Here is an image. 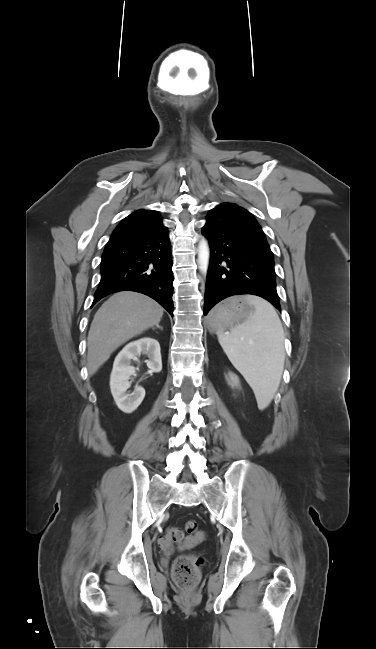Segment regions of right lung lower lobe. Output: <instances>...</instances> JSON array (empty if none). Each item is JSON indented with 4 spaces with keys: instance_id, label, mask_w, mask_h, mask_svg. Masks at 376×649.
Listing matches in <instances>:
<instances>
[{
    "instance_id": "obj_1",
    "label": "right lung lower lobe",
    "mask_w": 376,
    "mask_h": 649,
    "mask_svg": "<svg viewBox=\"0 0 376 649\" xmlns=\"http://www.w3.org/2000/svg\"><path fill=\"white\" fill-rule=\"evenodd\" d=\"M173 272L168 231L106 245L101 261V280L92 306L101 298L130 290L156 300L173 316Z\"/></svg>"
}]
</instances>
